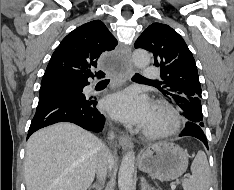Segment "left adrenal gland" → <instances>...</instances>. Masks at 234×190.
I'll list each match as a JSON object with an SVG mask.
<instances>
[{
	"label": "left adrenal gland",
	"instance_id": "1",
	"mask_svg": "<svg viewBox=\"0 0 234 190\" xmlns=\"http://www.w3.org/2000/svg\"><path fill=\"white\" fill-rule=\"evenodd\" d=\"M141 190H155V189L146 182L144 177H141Z\"/></svg>",
	"mask_w": 234,
	"mask_h": 190
}]
</instances>
